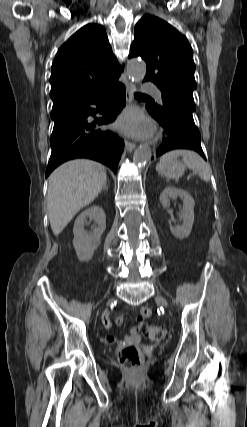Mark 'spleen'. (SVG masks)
Returning <instances> with one entry per match:
<instances>
[{"instance_id":"1","label":"spleen","mask_w":247,"mask_h":427,"mask_svg":"<svg viewBox=\"0 0 247 427\" xmlns=\"http://www.w3.org/2000/svg\"><path fill=\"white\" fill-rule=\"evenodd\" d=\"M182 157L186 166L198 172L200 178L206 182L210 180L211 176V168L208 163H206L197 153L190 150H173L166 154H164L158 166L163 165L171 160L177 159L178 157ZM157 166V167H158Z\"/></svg>"}]
</instances>
